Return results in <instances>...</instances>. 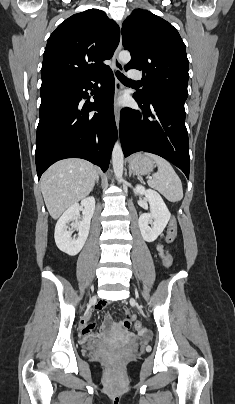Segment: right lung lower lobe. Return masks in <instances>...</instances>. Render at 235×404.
<instances>
[{
  "label": "right lung lower lobe",
  "instance_id": "1",
  "mask_svg": "<svg viewBox=\"0 0 235 404\" xmlns=\"http://www.w3.org/2000/svg\"><path fill=\"white\" fill-rule=\"evenodd\" d=\"M101 80L100 88L92 83ZM114 86L109 69L92 78L63 81L41 89L35 151L38 179L50 165L65 158H83L104 172L108 169L117 137ZM92 87L96 88L95 102L82 106V98ZM92 110L97 113L89 114Z\"/></svg>",
  "mask_w": 235,
  "mask_h": 404
}]
</instances>
